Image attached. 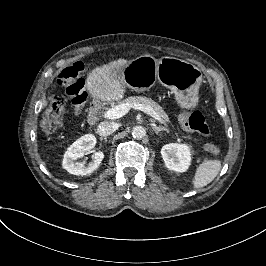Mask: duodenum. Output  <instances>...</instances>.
I'll return each instance as SVG.
<instances>
[{"label": "duodenum", "mask_w": 266, "mask_h": 266, "mask_svg": "<svg viewBox=\"0 0 266 266\" xmlns=\"http://www.w3.org/2000/svg\"><path fill=\"white\" fill-rule=\"evenodd\" d=\"M93 86L95 88L93 92V99L98 104H105L109 101L110 97L113 96L116 92V85L109 77L105 74H98L93 79ZM98 105L90 111L89 119L91 121H96L98 118Z\"/></svg>", "instance_id": "obj_1"}]
</instances>
